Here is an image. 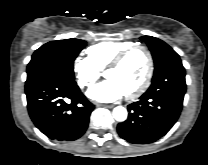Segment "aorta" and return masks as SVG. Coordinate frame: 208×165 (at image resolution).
Masks as SVG:
<instances>
[{
	"instance_id": "aorta-1",
	"label": "aorta",
	"mask_w": 208,
	"mask_h": 165,
	"mask_svg": "<svg viewBox=\"0 0 208 165\" xmlns=\"http://www.w3.org/2000/svg\"><path fill=\"white\" fill-rule=\"evenodd\" d=\"M127 110L123 106H117L113 109V117L118 122H123L127 119Z\"/></svg>"
}]
</instances>
